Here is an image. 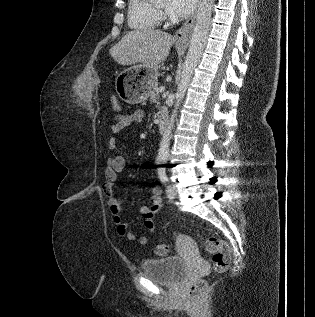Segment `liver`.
<instances>
[{
    "instance_id": "liver-1",
    "label": "liver",
    "mask_w": 315,
    "mask_h": 317,
    "mask_svg": "<svg viewBox=\"0 0 315 317\" xmlns=\"http://www.w3.org/2000/svg\"><path fill=\"white\" fill-rule=\"evenodd\" d=\"M174 43L166 32L153 29L128 32L110 50L111 57L120 65L140 63L142 67H154L166 60Z\"/></svg>"
}]
</instances>
